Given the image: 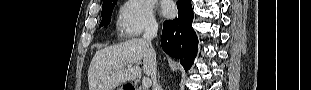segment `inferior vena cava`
Returning a JSON list of instances; mask_svg holds the SVG:
<instances>
[{
	"instance_id": "obj_1",
	"label": "inferior vena cava",
	"mask_w": 311,
	"mask_h": 90,
	"mask_svg": "<svg viewBox=\"0 0 311 90\" xmlns=\"http://www.w3.org/2000/svg\"><path fill=\"white\" fill-rule=\"evenodd\" d=\"M158 32V24L151 23L146 26L145 32L143 34V41L142 46L145 50L146 55V64L149 66V69L152 70L151 72V79L153 80V87L155 90H161L158 82H157V69H158V62L156 59V48H153L152 40L157 36Z\"/></svg>"
}]
</instances>
